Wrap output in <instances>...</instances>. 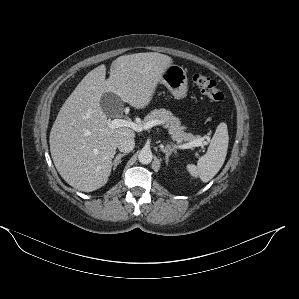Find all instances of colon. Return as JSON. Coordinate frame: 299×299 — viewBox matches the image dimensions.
Returning a JSON list of instances; mask_svg holds the SVG:
<instances>
[{"instance_id":"5ec220e1","label":"colon","mask_w":299,"mask_h":299,"mask_svg":"<svg viewBox=\"0 0 299 299\" xmlns=\"http://www.w3.org/2000/svg\"><path fill=\"white\" fill-rule=\"evenodd\" d=\"M193 83L208 99L214 102H220L224 98V94L215 80L209 76L196 73L193 76Z\"/></svg>"}]
</instances>
